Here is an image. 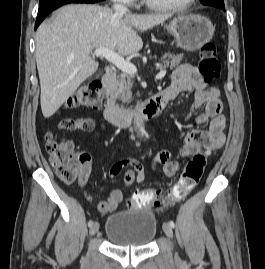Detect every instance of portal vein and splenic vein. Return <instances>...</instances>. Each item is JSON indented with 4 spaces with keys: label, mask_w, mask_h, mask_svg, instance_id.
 Returning a JSON list of instances; mask_svg holds the SVG:
<instances>
[{
    "label": "portal vein and splenic vein",
    "mask_w": 265,
    "mask_h": 269,
    "mask_svg": "<svg viewBox=\"0 0 265 269\" xmlns=\"http://www.w3.org/2000/svg\"><path fill=\"white\" fill-rule=\"evenodd\" d=\"M92 55L96 57H104L109 62L114 64L118 69L129 75H134L137 73V68L134 64L129 61H126L122 56L108 48H97ZM165 75L166 70H160V72L156 75L155 79H162Z\"/></svg>",
    "instance_id": "18ae733b"
}]
</instances>
